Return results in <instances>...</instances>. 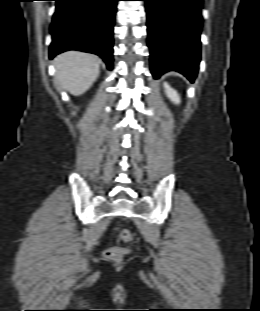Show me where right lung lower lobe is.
Wrapping results in <instances>:
<instances>
[{
  "label": "right lung lower lobe",
  "mask_w": 260,
  "mask_h": 311,
  "mask_svg": "<svg viewBox=\"0 0 260 311\" xmlns=\"http://www.w3.org/2000/svg\"><path fill=\"white\" fill-rule=\"evenodd\" d=\"M50 58L67 50L99 55L112 70L113 26L118 0H55Z\"/></svg>",
  "instance_id": "1"
}]
</instances>
